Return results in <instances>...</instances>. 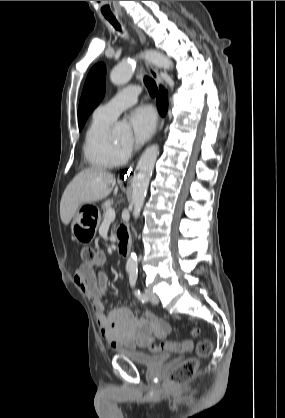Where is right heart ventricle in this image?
<instances>
[{"mask_svg":"<svg viewBox=\"0 0 285 418\" xmlns=\"http://www.w3.org/2000/svg\"><path fill=\"white\" fill-rule=\"evenodd\" d=\"M111 124L93 115L86 131L83 152L88 164L94 169H108L124 159L120 148L109 139Z\"/></svg>","mask_w":285,"mask_h":418,"instance_id":"1","label":"right heart ventricle"}]
</instances>
